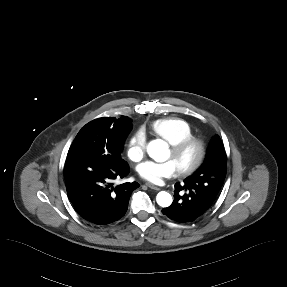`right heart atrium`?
I'll list each match as a JSON object with an SVG mask.
<instances>
[{
	"mask_svg": "<svg viewBox=\"0 0 287 287\" xmlns=\"http://www.w3.org/2000/svg\"><path fill=\"white\" fill-rule=\"evenodd\" d=\"M146 151V138L142 130H137L127 144V156L134 162L140 161Z\"/></svg>",
	"mask_w": 287,
	"mask_h": 287,
	"instance_id": "d8ad5b80",
	"label": "right heart atrium"
}]
</instances>
